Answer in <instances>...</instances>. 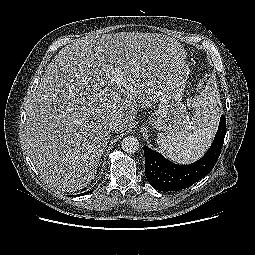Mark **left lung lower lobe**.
Returning <instances> with one entry per match:
<instances>
[{"mask_svg":"<svg viewBox=\"0 0 255 255\" xmlns=\"http://www.w3.org/2000/svg\"><path fill=\"white\" fill-rule=\"evenodd\" d=\"M226 119L220 118L218 131L207 153L189 165H178L160 153L144 146L145 175L149 184L159 191H175L190 187L214 168L224 143Z\"/></svg>","mask_w":255,"mask_h":255,"instance_id":"1","label":"left lung lower lobe"}]
</instances>
